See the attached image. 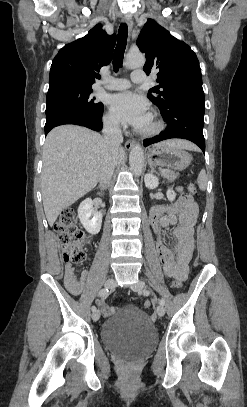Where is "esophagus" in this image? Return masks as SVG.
<instances>
[{
    "mask_svg": "<svg viewBox=\"0 0 247 407\" xmlns=\"http://www.w3.org/2000/svg\"><path fill=\"white\" fill-rule=\"evenodd\" d=\"M123 22H125L127 24L129 31H131L132 27H133V21L130 18L123 17ZM134 143H135L134 140L128 139L125 142V148L127 150L131 149L133 147Z\"/></svg>",
    "mask_w": 247,
    "mask_h": 407,
    "instance_id": "obj_1",
    "label": "esophagus"
}]
</instances>
